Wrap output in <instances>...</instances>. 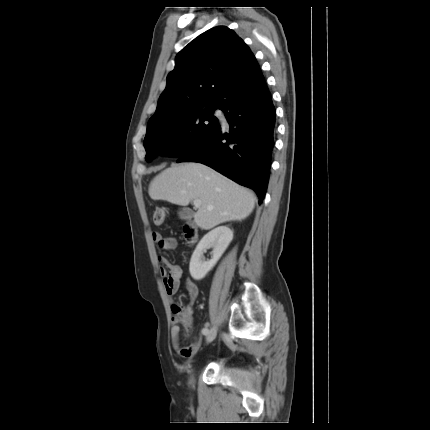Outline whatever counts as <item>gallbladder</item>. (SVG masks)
Here are the masks:
<instances>
[{"label":"gallbladder","mask_w":430,"mask_h":430,"mask_svg":"<svg viewBox=\"0 0 430 430\" xmlns=\"http://www.w3.org/2000/svg\"><path fill=\"white\" fill-rule=\"evenodd\" d=\"M179 218L182 220H186L189 219L193 216V211L188 209V208H183L180 210V212L178 213Z\"/></svg>","instance_id":"bac80fb5"}]
</instances>
